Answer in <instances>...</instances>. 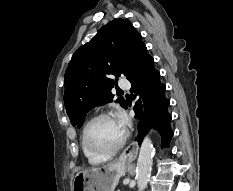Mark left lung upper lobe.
<instances>
[{
  "label": "left lung upper lobe",
  "instance_id": "5c2ea615",
  "mask_svg": "<svg viewBox=\"0 0 233 191\" xmlns=\"http://www.w3.org/2000/svg\"><path fill=\"white\" fill-rule=\"evenodd\" d=\"M148 55L141 34L123 19L109 22L81 46L64 79V103L72 125L81 127L91 108L113 101L111 89L117 80L110 75L129 79ZM116 101L126 108L123 97Z\"/></svg>",
  "mask_w": 233,
  "mask_h": 191
}]
</instances>
